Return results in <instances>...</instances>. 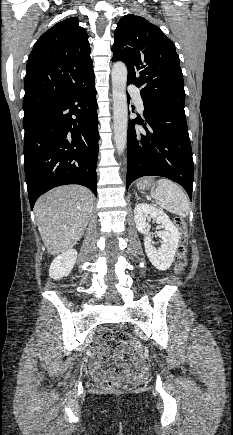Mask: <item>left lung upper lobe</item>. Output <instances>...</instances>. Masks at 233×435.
<instances>
[{
    "instance_id": "1",
    "label": "left lung upper lobe",
    "mask_w": 233,
    "mask_h": 435,
    "mask_svg": "<svg viewBox=\"0 0 233 435\" xmlns=\"http://www.w3.org/2000/svg\"><path fill=\"white\" fill-rule=\"evenodd\" d=\"M112 61L127 65V84L140 88L143 103L184 111L185 91L174 43L155 25L133 14L114 32Z\"/></svg>"
}]
</instances>
